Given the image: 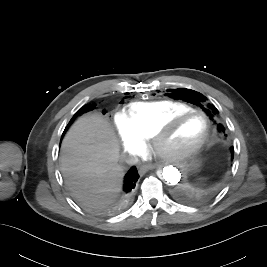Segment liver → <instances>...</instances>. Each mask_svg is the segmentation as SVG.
<instances>
[{
  "label": "liver",
  "mask_w": 267,
  "mask_h": 267,
  "mask_svg": "<svg viewBox=\"0 0 267 267\" xmlns=\"http://www.w3.org/2000/svg\"><path fill=\"white\" fill-rule=\"evenodd\" d=\"M118 139L107 120L94 113L80 117L61 145L66 186L83 203L102 207L121 191L124 167Z\"/></svg>",
  "instance_id": "obj_1"
}]
</instances>
